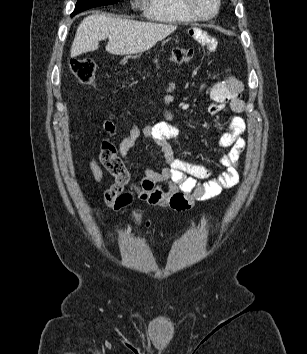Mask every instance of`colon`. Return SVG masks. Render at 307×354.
I'll use <instances>...</instances> for the list:
<instances>
[{
    "instance_id": "colon-1",
    "label": "colon",
    "mask_w": 307,
    "mask_h": 354,
    "mask_svg": "<svg viewBox=\"0 0 307 354\" xmlns=\"http://www.w3.org/2000/svg\"><path fill=\"white\" fill-rule=\"evenodd\" d=\"M193 57V50L188 48H176L170 54V61L174 63H186ZM70 71L74 77L86 85H94L97 81V68L91 58H74L70 61ZM137 220L141 221L140 213H137ZM150 226V221L144 222Z\"/></svg>"
}]
</instances>
